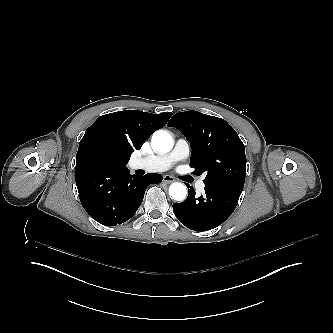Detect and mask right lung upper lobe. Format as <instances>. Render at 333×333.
<instances>
[{
  "instance_id": "right-lung-upper-lobe-1",
  "label": "right lung upper lobe",
  "mask_w": 333,
  "mask_h": 333,
  "mask_svg": "<svg viewBox=\"0 0 333 333\" xmlns=\"http://www.w3.org/2000/svg\"><path fill=\"white\" fill-rule=\"evenodd\" d=\"M172 113L151 114L126 110L100 116L79 143L76 167L85 165L93 149H103L120 163H128L151 134L162 128Z\"/></svg>"
}]
</instances>
